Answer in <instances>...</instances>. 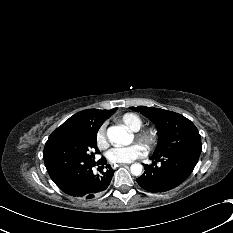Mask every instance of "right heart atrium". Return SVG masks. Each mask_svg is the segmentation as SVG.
Listing matches in <instances>:
<instances>
[{
    "mask_svg": "<svg viewBox=\"0 0 233 233\" xmlns=\"http://www.w3.org/2000/svg\"><path fill=\"white\" fill-rule=\"evenodd\" d=\"M96 144L100 149H104L108 146V138L106 134L105 125H102L96 132L95 136Z\"/></svg>",
    "mask_w": 233,
    "mask_h": 233,
    "instance_id": "obj_1",
    "label": "right heart atrium"
}]
</instances>
